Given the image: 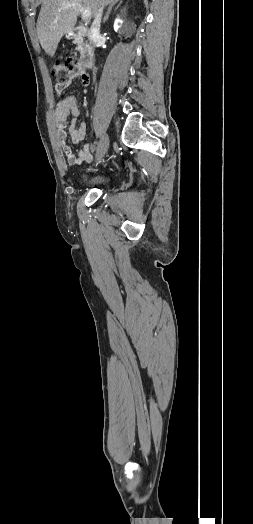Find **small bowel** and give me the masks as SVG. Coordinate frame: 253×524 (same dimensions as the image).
I'll return each mask as SVG.
<instances>
[{"label": "small bowel", "instance_id": "obj_1", "mask_svg": "<svg viewBox=\"0 0 253 524\" xmlns=\"http://www.w3.org/2000/svg\"><path fill=\"white\" fill-rule=\"evenodd\" d=\"M59 94L63 90L56 89ZM80 115V107L74 96L61 97L54 106L53 118L57 128V137L61 143L62 149L65 153L66 160L70 165L80 166L85 162H91L89 145H82L77 153H73L71 149L65 145L67 134L73 144H78L85 139L86 125L81 123L77 125V118Z\"/></svg>", "mask_w": 253, "mask_h": 524}]
</instances>
